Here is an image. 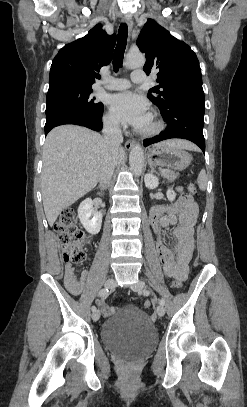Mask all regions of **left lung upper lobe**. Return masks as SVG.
<instances>
[{
  "mask_svg": "<svg viewBox=\"0 0 247 407\" xmlns=\"http://www.w3.org/2000/svg\"><path fill=\"white\" fill-rule=\"evenodd\" d=\"M139 50L145 53L146 74L157 71L156 82L147 97L166 115L173 105L205 103L202 77L196 54L184 42L153 19H148L138 40Z\"/></svg>",
  "mask_w": 247,
  "mask_h": 407,
  "instance_id": "5c2ea615",
  "label": "left lung upper lobe"
}]
</instances>
